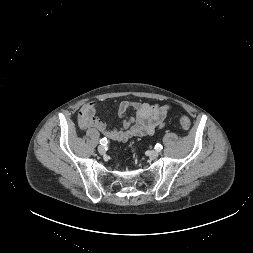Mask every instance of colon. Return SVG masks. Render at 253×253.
<instances>
[{
  "mask_svg": "<svg viewBox=\"0 0 253 253\" xmlns=\"http://www.w3.org/2000/svg\"><path fill=\"white\" fill-rule=\"evenodd\" d=\"M180 124H181L183 130H185V131H188L191 127V122H190L189 118L186 116L180 117Z\"/></svg>",
  "mask_w": 253,
  "mask_h": 253,
  "instance_id": "obj_1",
  "label": "colon"
}]
</instances>
